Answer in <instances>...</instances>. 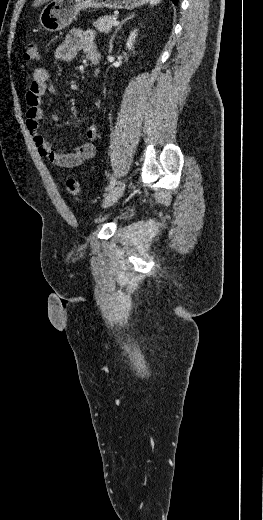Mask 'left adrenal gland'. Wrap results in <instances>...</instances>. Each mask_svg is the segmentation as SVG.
<instances>
[{
	"label": "left adrenal gland",
	"instance_id": "obj_1",
	"mask_svg": "<svg viewBox=\"0 0 263 520\" xmlns=\"http://www.w3.org/2000/svg\"><path fill=\"white\" fill-rule=\"evenodd\" d=\"M134 17H135V13H132V14L129 15L127 18H125V19L120 23V25L116 28L115 32L113 33V35L111 36V39H110V43H109V44H110V46H109V47H110V49H109L110 52H111L112 49H113V40H114V37L116 36L117 32L121 29L122 25H123L126 21H128V20H130V19H132V18H134Z\"/></svg>",
	"mask_w": 263,
	"mask_h": 520
}]
</instances>
